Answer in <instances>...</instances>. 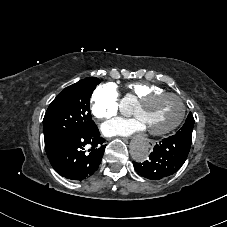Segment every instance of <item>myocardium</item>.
Listing matches in <instances>:
<instances>
[{"label": "myocardium", "instance_id": "1", "mask_svg": "<svg viewBox=\"0 0 227 227\" xmlns=\"http://www.w3.org/2000/svg\"><path fill=\"white\" fill-rule=\"evenodd\" d=\"M162 96H171L174 97L180 104L181 106V113L179 115V117L177 118V120L166 130L163 131H148V134L151 136H155V137H163L173 131H175L184 121L186 114H187V106L185 103V100L183 99V97L175 92H170V91H160V92H155V93H151V94H147L143 97H141L140 99H138V104L139 105H144V104H148Z\"/></svg>", "mask_w": 227, "mask_h": 227}]
</instances>
